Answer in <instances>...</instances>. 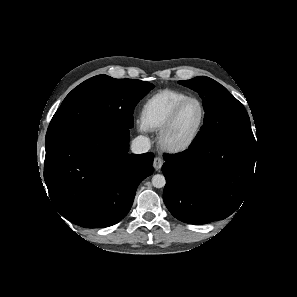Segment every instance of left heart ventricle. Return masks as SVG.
I'll list each match as a JSON object with an SVG mask.
<instances>
[{
	"instance_id": "b2bd125f",
	"label": "left heart ventricle",
	"mask_w": 297,
	"mask_h": 297,
	"mask_svg": "<svg viewBox=\"0 0 297 297\" xmlns=\"http://www.w3.org/2000/svg\"><path fill=\"white\" fill-rule=\"evenodd\" d=\"M201 115V107L197 102L188 103L180 112L170 133L169 141L173 144L186 141L197 128Z\"/></svg>"
}]
</instances>
